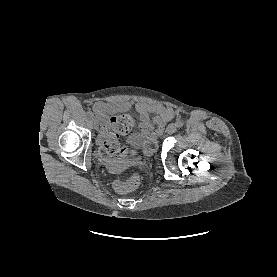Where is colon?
<instances>
[{
	"label": "colon",
	"instance_id": "5ec220e1",
	"mask_svg": "<svg viewBox=\"0 0 277 277\" xmlns=\"http://www.w3.org/2000/svg\"><path fill=\"white\" fill-rule=\"evenodd\" d=\"M135 126V119L133 116L125 114L114 116L109 123L105 125L98 135L99 153L109 159L121 158L125 156L134 155L119 142V138L128 134ZM156 150V144L148 142L144 148V153L149 155ZM139 181L137 178L126 181L117 179L113 183V188L116 192L121 194L131 193L138 189Z\"/></svg>",
	"mask_w": 277,
	"mask_h": 277
}]
</instances>
